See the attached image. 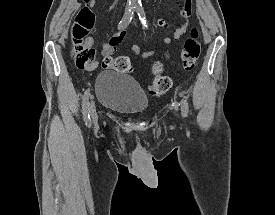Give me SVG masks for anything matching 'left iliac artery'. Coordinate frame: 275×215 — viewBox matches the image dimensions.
Returning <instances> with one entry per match:
<instances>
[{
	"label": "left iliac artery",
	"mask_w": 275,
	"mask_h": 215,
	"mask_svg": "<svg viewBox=\"0 0 275 215\" xmlns=\"http://www.w3.org/2000/svg\"><path fill=\"white\" fill-rule=\"evenodd\" d=\"M137 10V13H138V16H139V19L143 25L144 28H148L147 26V19H146V16H145V12H144V9L139 6L136 8ZM180 105H181V112H182V116L183 117H187V104H186V100L182 99L181 102H180Z\"/></svg>",
	"instance_id": "obj_1"
}]
</instances>
